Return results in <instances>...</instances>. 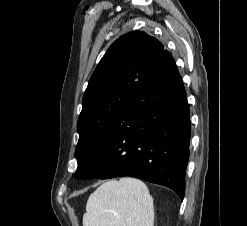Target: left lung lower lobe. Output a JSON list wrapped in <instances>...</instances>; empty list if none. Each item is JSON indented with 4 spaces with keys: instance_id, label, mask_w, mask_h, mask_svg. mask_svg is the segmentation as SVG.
I'll list each match as a JSON object with an SVG mask.
<instances>
[{
    "instance_id": "0a47b994",
    "label": "left lung lower lobe",
    "mask_w": 247,
    "mask_h": 226,
    "mask_svg": "<svg viewBox=\"0 0 247 226\" xmlns=\"http://www.w3.org/2000/svg\"><path fill=\"white\" fill-rule=\"evenodd\" d=\"M190 129L182 78L163 50L88 157L80 179L132 176L169 187L183 200Z\"/></svg>"
}]
</instances>
